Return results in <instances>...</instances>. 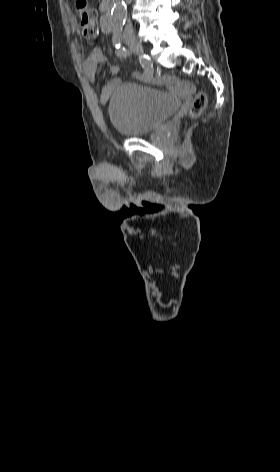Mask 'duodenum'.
Listing matches in <instances>:
<instances>
[{
    "instance_id": "410a0bca",
    "label": "duodenum",
    "mask_w": 280,
    "mask_h": 472,
    "mask_svg": "<svg viewBox=\"0 0 280 472\" xmlns=\"http://www.w3.org/2000/svg\"><path fill=\"white\" fill-rule=\"evenodd\" d=\"M101 29L105 33H109L113 29V24L111 20V6L107 5L104 9L103 16L101 19Z\"/></svg>"
}]
</instances>
